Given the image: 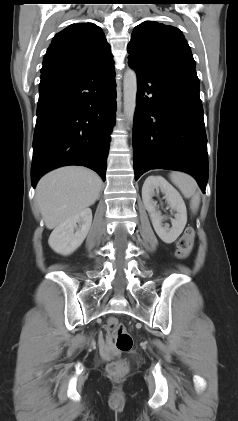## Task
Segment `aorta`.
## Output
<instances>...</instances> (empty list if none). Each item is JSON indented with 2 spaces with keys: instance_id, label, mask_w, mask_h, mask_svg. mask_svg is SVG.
<instances>
[{
  "instance_id": "obj_1",
  "label": "aorta",
  "mask_w": 238,
  "mask_h": 421,
  "mask_svg": "<svg viewBox=\"0 0 238 421\" xmlns=\"http://www.w3.org/2000/svg\"><path fill=\"white\" fill-rule=\"evenodd\" d=\"M124 113L127 124L133 123L136 95H137V75L133 69H127L124 75Z\"/></svg>"
}]
</instances>
